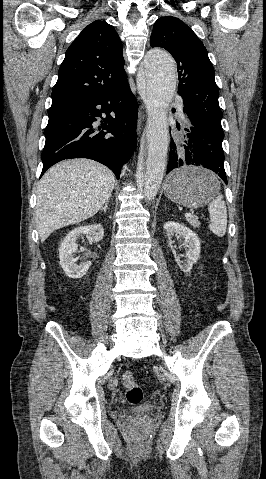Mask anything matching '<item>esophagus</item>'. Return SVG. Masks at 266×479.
<instances>
[{
    "mask_svg": "<svg viewBox=\"0 0 266 479\" xmlns=\"http://www.w3.org/2000/svg\"><path fill=\"white\" fill-rule=\"evenodd\" d=\"M144 121V114L143 112L140 110L139 111V115H138V124H137V132L138 134H140L141 130H142V123Z\"/></svg>",
    "mask_w": 266,
    "mask_h": 479,
    "instance_id": "esophagus-1",
    "label": "esophagus"
}]
</instances>
